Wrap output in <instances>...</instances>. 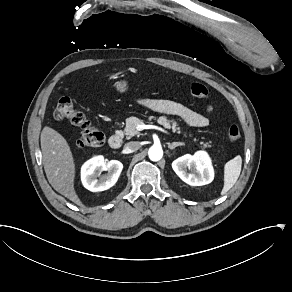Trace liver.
Returning <instances> with one entry per match:
<instances>
[{
  "label": "liver",
  "instance_id": "6515ba94",
  "mask_svg": "<svg viewBox=\"0 0 292 292\" xmlns=\"http://www.w3.org/2000/svg\"><path fill=\"white\" fill-rule=\"evenodd\" d=\"M40 142L43 166L50 185L81 209H88L75 190V159L65 137L46 125L42 129Z\"/></svg>",
  "mask_w": 292,
  "mask_h": 292
}]
</instances>
